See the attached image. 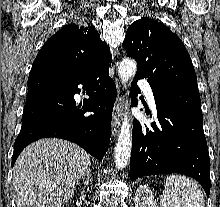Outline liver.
I'll return each mask as SVG.
<instances>
[{"instance_id": "1", "label": "liver", "mask_w": 220, "mask_h": 207, "mask_svg": "<svg viewBox=\"0 0 220 207\" xmlns=\"http://www.w3.org/2000/svg\"><path fill=\"white\" fill-rule=\"evenodd\" d=\"M90 166V155L71 142L48 138L30 144L13 168L16 206L60 207Z\"/></svg>"}]
</instances>
